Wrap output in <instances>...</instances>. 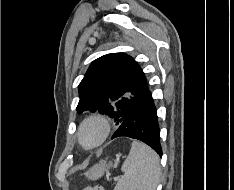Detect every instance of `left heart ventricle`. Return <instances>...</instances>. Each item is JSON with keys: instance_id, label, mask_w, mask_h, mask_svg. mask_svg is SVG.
I'll return each instance as SVG.
<instances>
[{"instance_id": "obj_1", "label": "left heart ventricle", "mask_w": 234, "mask_h": 190, "mask_svg": "<svg viewBox=\"0 0 234 190\" xmlns=\"http://www.w3.org/2000/svg\"><path fill=\"white\" fill-rule=\"evenodd\" d=\"M96 137H97V130L94 128H90L84 133V140L86 143L93 142L96 139Z\"/></svg>"}]
</instances>
